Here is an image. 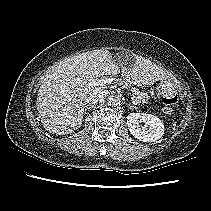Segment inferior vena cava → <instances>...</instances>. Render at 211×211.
I'll return each instance as SVG.
<instances>
[{
    "label": "inferior vena cava",
    "instance_id": "1",
    "mask_svg": "<svg viewBox=\"0 0 211 211\" xmlns=\"http://www.w3.org/2000/svg\"><path fill=\"white\" fill-rule=\"evenodd\" d=\"M106 95L107 92L105 90L96 91L87 98V102L89 104H96L101 101Z\"/></svg>",
    "mask_w": 211,
    "mask_h": 211
}]
</instances>
